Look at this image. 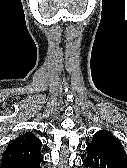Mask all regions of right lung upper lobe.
I'll return each instance as SVG.
<instances>
[{
	"instance_id": "1",
	"label": "right lung upper lobe",
	"mask_w": 127,
	"mask_h": 168,
	"mask_svg": "<svg viewBox=\"0 0 127 168\" xmlns=\"http://www.w3.org/2000/svg\"><path fill=\"white\" fill-rule=\"evenodd\" d=\"M41 141L30 132L20 135L10 141L2 154V161L5 160H33L42 158L40 153Z\"/></svg>"
}]
</instances>
